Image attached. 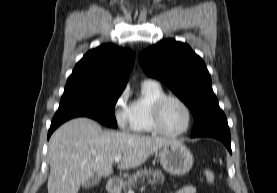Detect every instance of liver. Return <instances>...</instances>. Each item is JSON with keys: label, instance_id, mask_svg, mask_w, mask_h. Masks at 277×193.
Segmentation results:
<instances>
[{"label": "liver", "instance_id": "liver-1", "mask_svg": "<svg viewBox=\"0 0 277 193\" xmlns=\"http://www.w3.org/2000/svg\"><path fill=\"white\" fill-rule=\"evenodd\" d=\"M177 140L128 132L103 131L88 118H76L59 127L48 144V193H78L92 178L108 177L113 162L122 155L119 169L135 168L152 154Z\"/></svg>", "mask_w": 277, "mask_h": 193}]
</instances>
